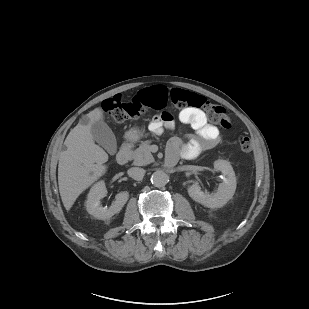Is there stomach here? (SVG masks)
I'll use <instances>...</instances> for the list:
<instances>
[{"mask_svg":"<svg viewBox=\"0 0 309 309\" xmlns=\"http://www.w3.org/2000/svg\"><path fill=\"white\" fill-rule=\"evenodd\" d=\"M144 134L143 130L137 129V128H132L129 131L126 132L125 137L128 140L131 141H137L139 140Z\"/></svg>","mask_w":309,"mask_h":309,"instance_id":"stomach-1","label":"stomach"}]
</instances>
